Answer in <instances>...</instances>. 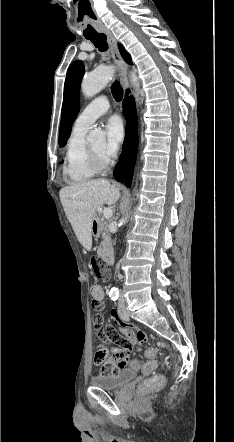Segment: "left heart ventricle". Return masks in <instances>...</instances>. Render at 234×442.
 <instances>
[{
	"label": "left heart ventricle",
	"instance_id": "b2bd125f",
	"mask_svg": "<svg viewBox=\"0 0 234 442\" xmlns=\"http://www.w3.org/2000/svg\"><path fill=\"white\" fill-rule=\"evenodd\" d=\"M92 148H93L96 152H98L99 154L105 156V152H104V149H105V143H104L103 141L93 144V145H92Z\"/></svg>",
	"mask_w": 234,
	"mask_h": 442
}]
</instances>
